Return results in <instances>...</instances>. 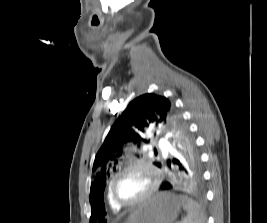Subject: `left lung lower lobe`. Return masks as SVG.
<instances>
[{
  "label": "left lung lower lobe",
  "instance_id": "0a47b994",
  "mask_svg": "<svg viewBox=\"0 0 267 223\" xmlns=\"http://www.w3.org/2000/svg\"><path fill=\"white\" fill-rule=\"evenodd\" d=\"M176 176H185L176 177ZM203 176V171H173L172 173H162L161 185L162 192H175V189H201L200 181ZM182 182V184H177Z\"/></svg>",
  "mask_w": 267,
  "mask_h": 223
}]
</instances>
